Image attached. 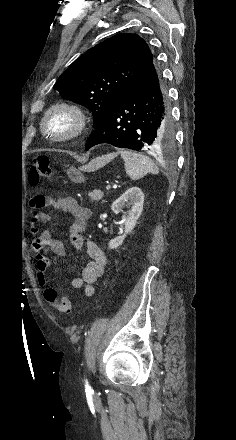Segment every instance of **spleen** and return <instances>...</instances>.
<instances>
[{
    "instance_id": "3e777b00",
    "label": "spleen",
    "mask_w": 236,
    "mask_h": 440,
    "mask_svg": "<svg viewBox=\"0 0 236 440\" xmlns=\"http://www.w3.org/2000/svg\"><path fill=\"white\" fill-rule=\"evenodd\" d=\"M126 174L132 180H138L148 173H157L158 168L147 156L126 149L120 150Z\"/></svg>"
}]
</instances>
